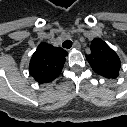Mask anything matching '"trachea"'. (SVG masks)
Returning <instances> with one entry per match:
<instances>
[{
  "label": "trachea",
  "mask_w": 127,
  "mask_h": 127,
  "mask_svg": "<svg viewBox=\"0 0 127 127\" xmlns=\"http://www.w3.org/2000/svg\"><path fill=\"white\" fill-rule=\"evenodd\" d=\"M71 44L72 43H71L70 40H66V41L63 42V47L70 48Z\"/></svg>",
  "instance_id": "trachea-1"
}]
</instances>
